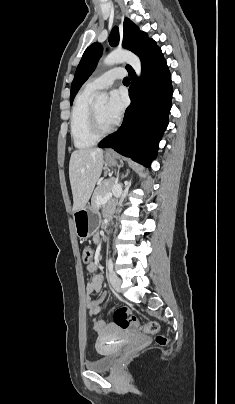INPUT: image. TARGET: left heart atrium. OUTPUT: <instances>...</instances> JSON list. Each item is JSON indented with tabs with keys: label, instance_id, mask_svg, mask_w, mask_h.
<instances>
[{
	"label": "left heart atrium",
	"instance_id": "left-heart-atrium-1",
	"mask_svg": "<svg viewBox=\"0 0 235 404\" xmlns=\"http://www.w3.org/2000/svg\"><path fill=\"white\" fill-rule=\"evenodd\" d=\"M126 105L125 96L118 90L110 92L105 105V116L111 124H115L124 112Z\"/></svg>",
	"mask_w": 235,
	"mask_h": 404
}]
</instances>
